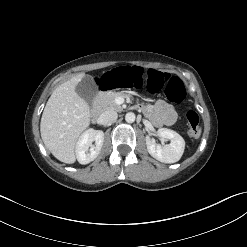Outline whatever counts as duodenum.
I'll return each instance as SVG.
<instances>
[{"instance_id": "1", "label": "duodenum", "mask_w": 247, "mask_h": 247, "mask_svg": "<svg viewBox=\"0 0 247 247\" xmlns=\"http://www.w3.org/2000/svg\"><path fill=\"white\" fill-rule=\"evenodd\" d=\"M97 114H98V108L96 106H93L91 109V115L95 117L97 116Z\"/></svg>"}]
</instances>
